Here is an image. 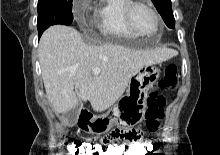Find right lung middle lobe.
<instances>
[{
    "instance_id": "obj_1",
    "label": "right lung middle lobe",
    "mask_w": 220,
    "mask_h": 155,
    "mask_svg": "<svg viewBox=\"0 0 220 155\" xmlns=\"http://www.w3.org/2000/svg\"><path fill=\"white\" fill-rule=\"evenodd\" d=\"M72 21V0H38L39 37L51 25H70Z\"/></svg>"
}]
</instances>
